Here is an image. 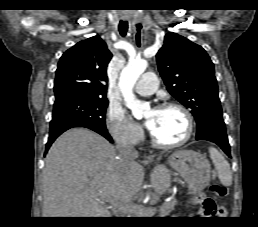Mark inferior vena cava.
<instances>
[{"label":"inferior vena cava","instance_id":"1","mask_svg":"<svg viewBox=\"0 0 258 227\" xmlns=\"http://www.w3.org/2000/svg\"><path fill=\"white\" fill-rule=\"evenodd\" d=\"M117 151L122 161L132 162L138 157V151L127 141H117Z\"/></svg>","mask_w":258,"mask_h":227}]
</instances>
